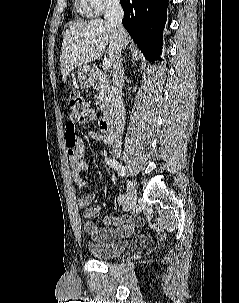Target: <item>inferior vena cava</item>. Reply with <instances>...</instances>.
Returning <instances> with one entry per match:
<instances>
[{
  "label": "inferior vena cava",
  "mask_w": 239,
  "mask_h": 303,
  "mask_svg": "<svg viewBox=\"0 0 239 303\" xmlns=\"http://www.w3.org/2000/svg\"><path fill=\"white\" fill-rule=\"evenodd\" d=\"M124 17L123 9L119 0H108L104 18L115 28L116 36V52L113 65V88H112V100L114 105L115 115V131H114V148L121 149L122 134L125 124V107L122 98L123 77L124 68L122 65V49L125 45L127 34L125 28L122 25V19Z\"/></svg>",
  "instance_id": "obj_1"
}]
</instances>
